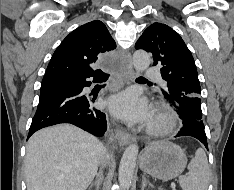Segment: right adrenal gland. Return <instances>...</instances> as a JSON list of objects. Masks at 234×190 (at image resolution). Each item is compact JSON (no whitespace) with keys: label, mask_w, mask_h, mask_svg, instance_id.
I'll return each instance as SVG.
<instances>
[{"label":"right adrenal gland","mask_w":234,"mask_h":190,"mask_svg":"<svg viewBox=\"0 0 234 190\" xmlns=\"http://www.w3.org/2000/svg\"><path fill=\"white\" fill-rule=\"evenodd\" d=\"M102 180H103V175L102 173H98L96 175V180L94 182L91 183V185L89 186V190L95 186L96 187V190H99L100 188V185L102 184Z\"/></svg>","instance_id":"right-adrenal-gland-1"}]
</instances>
